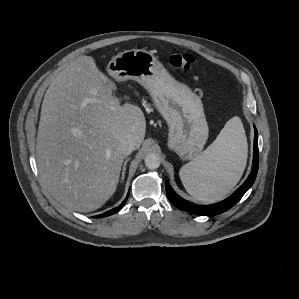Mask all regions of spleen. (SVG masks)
Masks as SVG:
<instances>
[{
    "instance_id": "1",
    "label": "spleen",
    "mask_w": 299,
    "mask_h": 299,
    "mask_svg": "<svg viewBox=\"0 0 299 299\" xmlns=\"http://www.w3.org/2000/svg\"><path fill=\"white\" fill-rule=\"evenodd\" d=\"M247 161V140L242 121L231 118L217 138L195 159L181 167L186 191L204 203L222 200L240 180Z\"/></svg>"
}]
</instances>
